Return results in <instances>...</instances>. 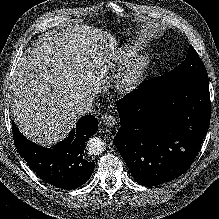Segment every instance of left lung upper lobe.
I'll use <instances>...</instances> for the list:
<instances>
[{
	"instance_id": "5c2ea615",
	"label": "left lung upper lobe",
	"mask_w": 219,
	"mask_h": 219,
	"mask_svg": "<svg viewBox=\"0 0 219 219\" xmlns=\"http://www.w3.org/2000/svg\"><path fill=\"white\" fill-rule=\"evenodd\" d=\"M188 80L208 81V75L204 64L201 62L195 49L190 46L186 59L172 71L149 80L155 89L180 83Z\"/></svg>"
}]
</instances>
